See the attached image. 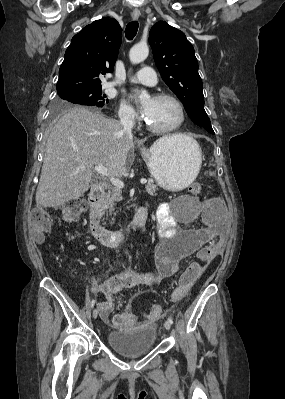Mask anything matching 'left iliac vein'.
Segmentation results:
<instances>
[{
  "instance_id": "obj_1",
  "label": "left iliac vein",
  "mask_w": 285,
  "mask_h": 399,
  "mask_svg": "<svg viewBox=\"0 0 285 399\" xmlns=\"http://www.w3.org/2000/svg\"><path fill=\"white\" fill-rule=\"evenodd\" d=\"M164 328H165L166 330H170V328H171V323H170L169 321H165V322H164Z\"/></svg>"
}]
</instances>
